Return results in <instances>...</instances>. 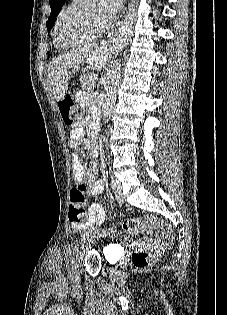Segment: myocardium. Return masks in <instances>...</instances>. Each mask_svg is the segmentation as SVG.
I'll use <instances>...</instances> for the list:
<instances>
[{"instance_id":"obj_1","label":"myocardium","mask_w":227,"mask_h":315,"mask_svg":"<svg viewBox=\"0 0 227 315\" xmlns=\"http://www.w3.org/2000/svg\"><path fill=\"white\" fill-rule=\"evenodd\" d=\"M88 2H89V0H74V2L59 17V19L55 25V29H54V40H55V43L58 47L66 48V49L67 48H74V47L80 46L86 42L96 40L104 34V32L106 31L108 26H104L99 32H97L93 35H89V36L85 37L84 39L77 41V42L69 43V42L63 41V39L61 38L60 32H61V27H62L63 23L71 15H73L80 7H82L83 5H85Z\"/></svg>"}]
</instances>
